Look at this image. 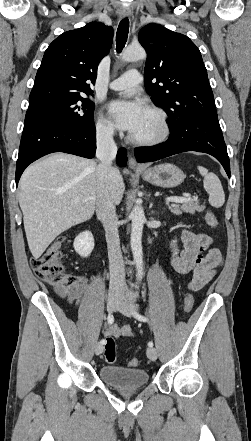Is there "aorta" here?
Here are the masks:
<instances>
[{
  "label": "aorta",
  "mask_w": 251,
  "mask_h": 441,
  "mask_svg": "<svg viewBox=\"0 0 251 441\" xmlns=\"http://www.w3.org/2000/svg\"><path fill=\"white\" fill-rule=\"evenodd\" d=\"M124 61H139L146 58V52L142 47H128L121 55ZM131 225V250L134 262L137 267V278L143 276V253H142V232L145 222L144 210L141 205L136 204L130 214Z\"/></svg>",
  "instance_id": "aorta-1"
}]
</instances>
